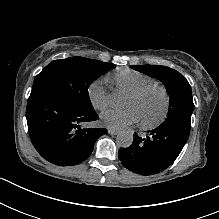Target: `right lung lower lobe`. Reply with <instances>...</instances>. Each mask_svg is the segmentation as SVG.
I'll return each instance as SVG.
<instances>
[{"instance_id": "right-lung-lower-lobe-1", "label": "right lung lower lobe", "mask_w": 219, "mask_h": 219, "mask_svg": "<svg viewBox=\"0 0 219 219\" xmlns=\"http://www.w3.org/2000/svg\"><path fill=\"white\" fill-rule=\"evenodd\" d=\"M30 139L47 161L74 166L86 160L95 141L106 129L82 128L84 122L98 120L94 109H80L60 97L30 94L26 108Z\"/></svg>"}]
</instances>
